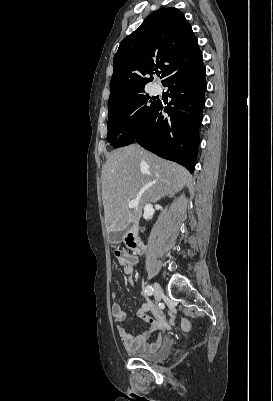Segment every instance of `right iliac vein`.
<instances>
[{
  "label": "right iliac vein",
  "mask_w": 273,
  "mask_h": 401,
  "mask_svg": "<svg viewBox=\"0 0 273 401\" xmlns=\"http://www.w3.org/2000/svg\"><path fill=\"white\" fill-rule=\"evenodd\" d=\"M153 292H154V298H155L156 302L158 303L161 299V296L163 295V290L159 283H154Z\"/></svg>",
  "instance_id": "1"
}]
</instances>
